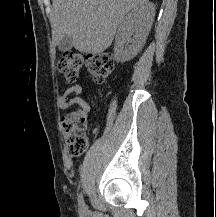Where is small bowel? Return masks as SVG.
I'll use <instances>...</instances> for the list:
<instances>
[{
	"instance_id": "c3829d8e",
	"label": "small bowel",
	"mask_w": 216,
	"mask_h": 217,
	"mask_svg": "<svg viewBox=\"0 0 216 217\" xmlns=\"http://www.w3.org/2000/svg\"><path fill=\"white\" fill-rule=\"evenodd\" d=\"M83 92V87L79 84L73 85L65 90L58 101V106L62 110H66L73 105L89 110L88 104L78 95ZM69 116V115H68Z\"/></svg>"
}]
</instances>
